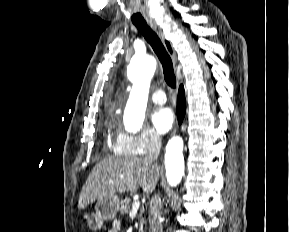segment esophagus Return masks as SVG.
I'll return each instance as SVG.
<instances>
[{
    "label": "esophagus",
    "mask_w": 289,
    "mask_h": 232,
    "mask_svg": "<svg viewBox=\"0 0 289 232\" xmlns=\"http://www.w3.org/2000/svg\"><path fill=\"white\" fill-rule=\"evenodd\" d=\"M150 27L157 33V35L159 36L160 40L162 41L166 51L168 52V54L171 56L173 62H176V53L175 50L172 46L171 41L166 38V36L164 35L163 31L157 27L156 24L151 23Z\"/></svg>",
    "instance_id": "34e87169"
}]
</instances>
